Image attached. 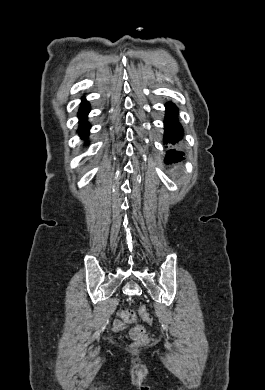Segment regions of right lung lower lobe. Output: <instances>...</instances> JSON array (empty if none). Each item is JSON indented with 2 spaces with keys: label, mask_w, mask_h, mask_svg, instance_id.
I'll return each instance as SVG.
<instances>
[{
  "label": "right lung lower lobe",
  "mask_w": 265,
  "mask_h": 390,
  "mask_svg": "<svg viewBox=\"0 0 265 390\" xmlns=\"http://www.w3.org/2000/svg\"><path fill=\"white\" fill-rule=\"evenodd\" d=\"M90 111V107L88 102L83 99L82 106L78 112V116L80 119L81 126L78 129L79 135L82 137V139L87 138L90 125L87 123V115Z\"/></svg>",
  "instance_id": "right-lung-lower-lobe-1"
}]
</instances>
